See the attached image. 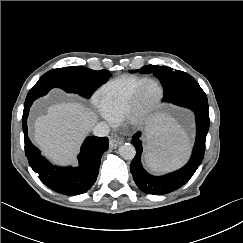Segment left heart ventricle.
<instances>
[{"label": "left heart ventricle", "instance_id": "left-heart-ventricle-1", "mask_svg": "<svg viewBox=\"0 0 243 243\" xmlns=\"http://www.w3.org/2000/svg\"><path fill=\"white\" fill-rule=\"evenodd\" d=\"M157 93H158V89L155 84L147 85L142 95L143 102L144 103L151 102L157 96Z\"/></svg>", "mask_w": 243, "mask_h": 243}]
</instances>
